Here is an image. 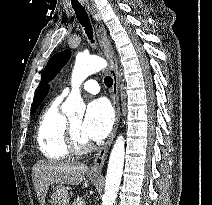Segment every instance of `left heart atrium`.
I'll list each match as a JSON object with an SVG mask.
<instances>
[{"label": "left heart atrium", "mask_w": 212, "mask_h": 205, "mask_svg": "<svg viewBox=\"0 0 212 205\" xmlns=\"http://www.w3.org/2000/svg\"><path fill=\"white\" fill-rule=\"evenodd\" d=\"M114 121L113 111L104 99L92 101L81 124V134L86 140L100 141L110 132Z\"/></svg>", "instance_id": "obj_1"}]
</instances>
